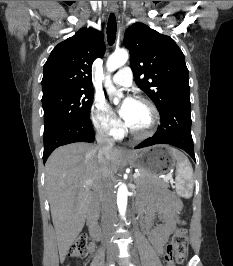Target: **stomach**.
Here are the masks:
<instances>
[{"instance_id": "obj_1", "label": "stomach", "mask_w": 233, "mask_h": 266, "mask_svg": "<svg viewBox=\"0 0 233 266\" xmlns=\"http://www.w3.org/2000/svg\"><path fill=\"white\" fill-rule=\"evenodd\" d=\"M175 147L152 146L142 150L132 151L124 159L133 167L155 174L168 176V172L178 161V156H173Z\"/></svg>"}]
</instances>
